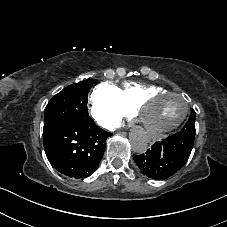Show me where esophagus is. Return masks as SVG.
<instances>
[{
	"mask_svg": "<svg viewBox=\"0 0 227 227\" xmlns=\"http://www.w3.org/2000/svg\"><path fill=\"white\" fill-rule=\"evenodd\" d=\"M155 140H156V139H155L154 136H152V135L149 136L148 139L146 140V145H147V146H152L153 143L155 142Z\"/></svg>",
	"mask_w": 227,
	"mask_h": 227,
	"instance_id": "obj_1",
	"label": "esophagus"
}]
</instances>
